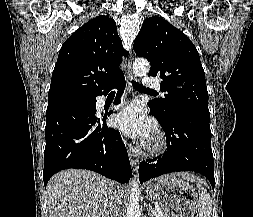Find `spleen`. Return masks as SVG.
I'll list each match as a JSON object with an SVG mask.
<instances>
[{"mask_svg": "<svg viewBox=\"0 0 253 217\" xmlns=\"http://www.w3.org/2000/svg\"><path fill=\"white\" fill-rule=\"evenodd\" d=\"M197 188L200 191L199 204H198L199 217H211L212 211L211 197L207 193V190L204 187H202L199 183L197 184Z\"/></svg>", "mask_w": 253, "mask_h": 217, "instance_id": "obj_1", "label": "spleen"}]
</instances>
